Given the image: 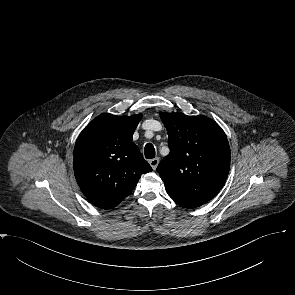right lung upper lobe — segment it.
Here are the masks:
<instances>
[{"mask_svg": "<svg viewBox=\"0 0 295 295\" xmlns=\"http://www.w3.org/2000/svg\"><path fill=\"white\" fill-rule=\"evenodd\" d=\"M141 117L103 113L79 135L73 152L75 178L96 207L117 206L132 192L140 176L152 171L132 142Z\"/></svg>", "mask_w": 295, "mask_h": 295, "instance_id": "obj_1", "label": "right lung upper lobe"}]
</instances>
